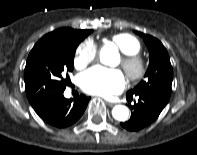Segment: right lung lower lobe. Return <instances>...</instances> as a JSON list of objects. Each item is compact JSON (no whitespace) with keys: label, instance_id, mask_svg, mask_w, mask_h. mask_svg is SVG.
<instances>
[{"label":"right lung lower lobe","instance_id":"1","mask_svg":"<svg viewBox=\"0 0 197 155\" xmlns=\"http://www.w3.org/2000/svg\"><path fill=\"white\" fill-rule=\"evenodd\" d=\"M89 100L90 97L85 95L78 96L74 100L66 99L63 92H60L33 108L46 123L57 128H66L81 117Z\"/></svg>","mask_w":197,"mask_h":155}]
</instances>
